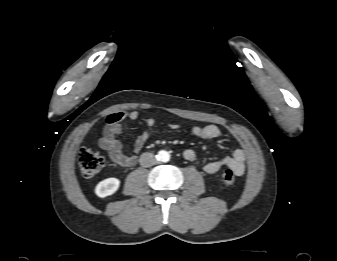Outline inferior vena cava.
Masks as SVG:
<instances>
[{
  "instance_id": "602c4592",
  "label": "inferior vena cava",
  "mask_w": 337,
  "mask_h": 261,
  "mask_svg": "<svg viewBox=\"0 0 337 261\" xmlns=\"http://www.w3.org/2000/svg\"><path fill=\"white\" fill-rule=\"evenodd\" d=\"M139 162L143 167H151L156 164V159L153 153L145 152L140 156Z\"/></svg>"
}]
</instances>
